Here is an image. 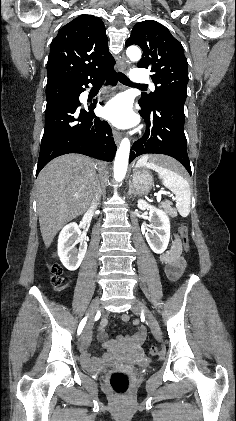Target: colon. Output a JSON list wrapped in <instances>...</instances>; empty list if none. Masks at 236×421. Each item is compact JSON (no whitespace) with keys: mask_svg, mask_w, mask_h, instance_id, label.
Listing matches in <instances>:
<instances>
[{"mask_svg":"<svg viewBox=\"0 0 236 421\" xmlns=\"http://www.w3.org/2000/svg\"><path fill=\"white\" fill-rule=\"evenodd\" d=\"M178 230L180 235L179 241L182 247L185 251H189L190 245L187 226L181 224ZM50 270L52 273L53 286L55 288H60L63 282L61 266L58 264H52L50 266ZM157 354L158 350L156 348L153 347L149 350L150 356H156ZM110 384L115 392L118 394H124L129 388L130 378L128 374L123 371H114L110 376Z\"/></svg>","mask_w":236,"mask_h":421,"instance_id":"obj_1","label":"colon"}]
</instances>
